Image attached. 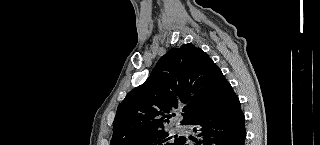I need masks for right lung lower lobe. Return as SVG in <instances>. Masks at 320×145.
<instances>
[{"instance_id": "right-lung-lower-lobe-1", "label": "right lung lower lobe", "mask_w": 320, "mask_h": 145, "mask_svg": "<svg viewBox=\"0 0 320 145\" xmlns=\"http://www.w3.org/2000/svg\"><path fill=\"white\" fill-rule=\"evenodd\" d=\"M208 108L190 120L193 131L201 139L182 137L179 145H244L245 118L231 85L221 76L213 90ZM195 143L192 144L191 141Z\"/></svg>"}]
</instances>
